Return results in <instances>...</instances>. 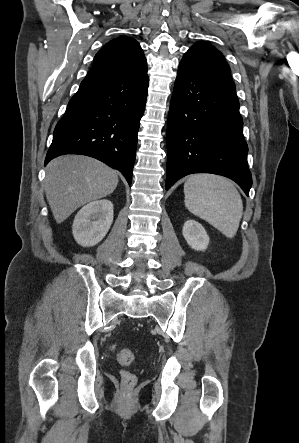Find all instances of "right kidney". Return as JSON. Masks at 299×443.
<instances>
[{
    "instance_id": "right-kidney-1",
    "label": "right kidney",
    "mask_w": 299,
    "mask_h": 443,
    "mask_svg": "<svg viewBox=\"0 0 299 443\" xmlns=\"http://www.w3.org/2000/svg\"><path fill=\"white\" fill-rule=\"evenodd\" d=\"M113 222V204L107 199L85 205L75 216L72 226L74 239L84 247L98 244Z\"/></svg>"
}]
</instances>
